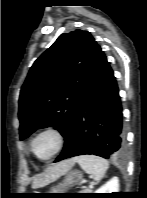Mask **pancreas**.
<instances>
[{"mask_svg": "<svg viewBox=\"0 0 147 198\" xmlns=\"http://www.w3.org/2000/svg\"><path fill=\"white\" fill-rule=\"evenodd\" d=\"M83 192H84V193H90L91 190H90V189H86V190H84Z\"/></svg>", "mask_w": 147, "mask_h": 198, "instance_id": "obj_1", "label": "pancreas"}]
</instances>
